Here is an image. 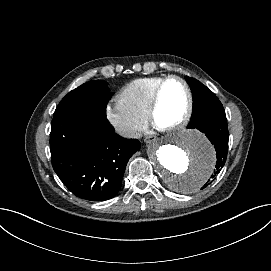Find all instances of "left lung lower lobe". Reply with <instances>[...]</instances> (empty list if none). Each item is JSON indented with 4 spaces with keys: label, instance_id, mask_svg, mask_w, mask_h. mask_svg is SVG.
<instances>
[{
    "label": "left lung lower lobe",
    "instance_id": "obj_1",
    "mask_svg": "<svg viewBox=\"0 0 271 271\" xmlns=\"http://www.w3.org/2000/svg\"><path fill=\"white\" fill-rule=\"evenodd\" d=\"M190 128L200 130L215 146L217 160L214 172L211 175V179H214L222 170L227 159L229 133L224 108L222 106L208 108ZM209 182L210 180L207 181L203 188Z\"/></svg>",
    "mask_w": 271,
    "mask_h": 271
}]
</instances>
